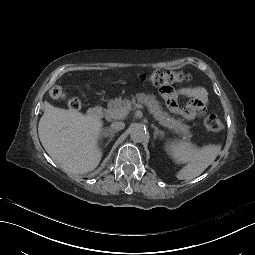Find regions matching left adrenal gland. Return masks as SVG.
<instances>
[{
	"instance_id": "1",
	"label": "left adrenal gland",
	"mask_w": 255,
	"mask_h": 255,
	"mask_svg": "<svg viewBox=\"0 0 255 255\" xmlns=\"http://www.w3.org/2000/svg\"><path fill=\"white\" fill-rule=\"evenodd\" d=\"M151 127L152 128H154V133H153V135H154V139H156L157 138V136H164V132L163 131H160L156 126H154L153 124L151 125Z\"/></svg>"
}]
</instances>
